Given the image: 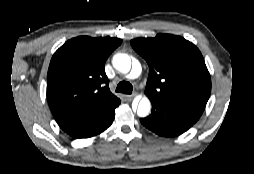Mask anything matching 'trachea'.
Listing matches in <instances>:
<instances>
[{
    "label": "trachea",
    "instance_id": "trachea-1",
    "mask_svg": "<svg viewBox=\"0 0 254 174\" xmlns=\"http://www.w3.org/2000/svg\"><path fill=\"white\" fill-rule=\"evenodd\" d=\"M133 90L132 85L127 81H122L117 85L116 92L131 94Z\"/></svg>",
    "mask_w": 254,
    "mask_h": 174
}]
</instances>
